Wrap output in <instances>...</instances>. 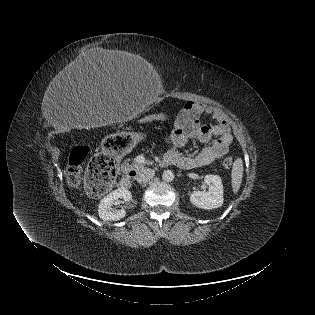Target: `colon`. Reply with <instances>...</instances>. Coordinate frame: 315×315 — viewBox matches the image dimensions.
Here are the masks:
<instances>
[{
  "label": "colon",
  "mask_w": 315,
  "mask_h": 315,
  "mask_svg": "<svg viewBox=\"0 0 315 315\" xmlns=\"http://www.w3.org/2000/svg\"><path fill=\"white\" fill-rule=\"evenodd\" d=\"M164 115H153L144 120V123L159 121ZM89 154L86 146H76L71 151L68 162V181L71 185L77 186L81 179L82 164ZM226 168L233 165V159L227 157L223 161ZM117 163L114 158L106 154H98L92 158L84 177V184L88 193L94 196L105 194L112 186L117 175Z\"/></svg>",
  "instance_id": "obj_1"
}]
</instances>
